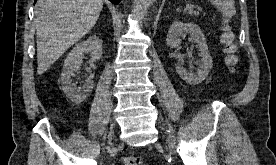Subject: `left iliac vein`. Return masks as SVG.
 I'll return each instance as SVG.
<instances>
[{
	"label": "left iliac vein",
	"instance_id": "4c4485c4",
	"mask_svg": "<svg viewBox=\"0 0 276 165\" xmlns=\"http://www.w3.org/2000/svg\"><path fill=\"white\" fill-rule=\"evenodd\" d=\"M168 137H169V138H168L169 147L171 148V150H174V148H175V141H174V139L172 138V135H171V134H169Z\"/></svg>",
	"mask_w": 276,
	"mask_h": 165
}]
</instances>
